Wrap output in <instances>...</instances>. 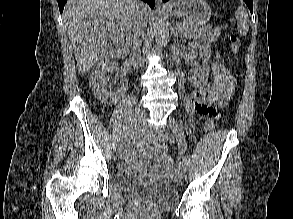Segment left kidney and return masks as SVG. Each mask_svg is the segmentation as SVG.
Returning a JSON list of instances; mask_svg holds the SVG:
<instances>
[{
	"mask_svg": "<svg viewBox=\"0 0 293 219\" xmlns=\"http://www.w3.org/2000/svg\"><path fill=\"white\" fill-rule=\"evenodd\" d=\"M209 76V65L204 62L201 66L197 65L190 73L189 81L195 87L203 88L207 85Z\"/></svg>",
	"mask_w": 293,
	"mask_h": 219,
	"instance_id": "5707ae66",
	"label": "left kidney"
}]
</instances>
